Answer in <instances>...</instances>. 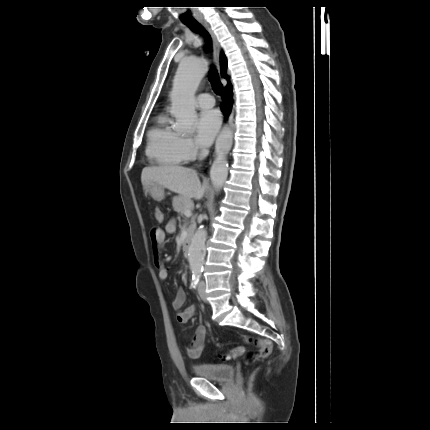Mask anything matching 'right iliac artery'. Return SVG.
Instances as JSON below:
<instances>
[{"label": "right iliac artery", "mask_w": 430, "mask_h": 430, "mask_svg": "<svg viewBox=\"0 0 430 430\" xmlns=\"http://www.w3.org/2000/svg\"><path fill=\"white\" fill-rule=\"evenodd\" d=\"M200 272H196L192 275V281L190 284V288L195 289L198 285L199 279H200Z\"/></svg>", "instance_id": "obj_1"}]
</instances>
